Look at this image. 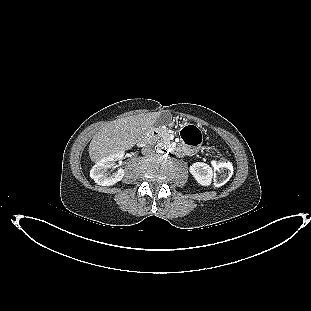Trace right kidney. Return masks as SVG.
Returning <instances> with one entry per match:
<instances>
[{"mask_svg":"<svg viewBox=\"0 0 311 311\" xmlns=\"http://www.w3.org/2000/svg\"><path fill=\"white\" fill-rule=\"evenodd\" d=\"M123 156V151L110 155L99 161L90 171V177L101 186H112L121 181L125 175L124 169L110 173L108 170L115 165V161Z\"/></svg>","mask_w":311,"mask_h":311,"instance_id":"ca27d5eb","label":"right kidney"}]
</instances>
